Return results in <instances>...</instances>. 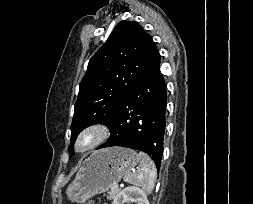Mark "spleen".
Listing matches in <instances>:
<instances>
[{
	"label": "spleen",
	"mask_w": 253,
	"mask_h": 204,
	"mask_svg": "<svg viewBox=\"0 0 253 204\" xmlns=\"http://www.w3.org/2000/svg\"><path fill=\"white\" fill-rule=\"evenodd\" d=\"M139 166L136 171L127 173L124 181L139 186L146 192H151L154 188L157 177V170L152 159L145 153L139 152Z\"/></svg>",
	"instance_id": "obj_1"
}]
</instances>
